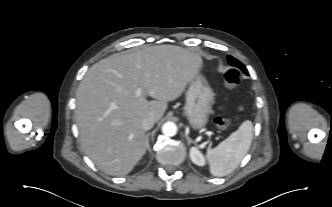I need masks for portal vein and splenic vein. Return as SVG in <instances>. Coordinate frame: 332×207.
<instances>
[{
	"instance_id": "obj_1",
	"label": "portal vein and splenic vein",
	"mask_w": 332,
	"mask_h": 207,
	"mask_svg": "<svg viewBox=\"0 0 332 207\" xmlns=\"http://www.w3.org/2000/svg\"><path fill=\"white\" fill-rule=\"evenodd\" d=\"M141 93V91L138 89L137 92H136V95L139 96Z\"/></svg>"
}]
</instances>
